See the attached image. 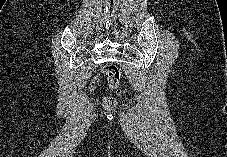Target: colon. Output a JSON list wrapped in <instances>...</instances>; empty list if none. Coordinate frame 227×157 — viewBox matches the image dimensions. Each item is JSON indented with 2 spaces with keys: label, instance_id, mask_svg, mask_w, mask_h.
Here are the masks:
<instances>
[{
  "label": "colon",
  "instance_id": "colon-1",
  "mask_svg": "<svg viewBox=\"0 0 227 157\" xmlns=\"http://www.w3.org/2000/svg\"><path fill=\"white\" fill-rule=\"evenodd\" d=\"M102 71L107 76V84L110 89L105 97L104 106L107 109H112L116 104V97L126 94V91L118 89L120 83V70L116 65L107 64L103 67ZM96 81V79L93 80L92 88Z\"/></svg>",
  "mask_w": 227,
  "mask_h": 157
}]
</instances>
